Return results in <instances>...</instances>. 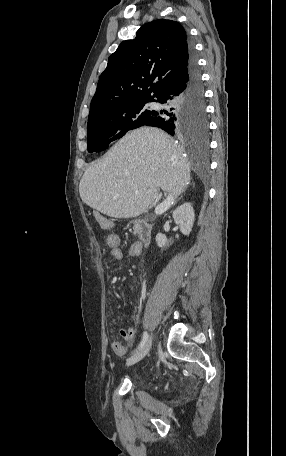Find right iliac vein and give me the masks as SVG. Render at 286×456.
Segmentation results:
<instances>
[{"label":"right iliac vein","mask_w":286,"mask_h":456,"mask_svg":"<svg viewBox=\"0 0 286 456\" xmlns=\"http://www.w3.org/2000/svg\"><path fill=\"white\" fill-rule=\"evenodd\" d=\"M151 342H152V340L150 338L148 340V342L144 345V347L139 352H137L136 354L132 355L130 358L127 359L126 365L131 366V365L139 362L141 359H143L150 350Z\"/></svg>","instance_id":"63e3f726"}]
</instances>
